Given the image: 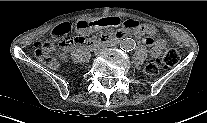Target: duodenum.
<instances>
[{
  "label": "duodenum",
  "mask_w": 207,
  "mask_h": 123,
  "mask_svg": "<svg viewBox=\"0 0 207 123\" xmlns=\"http://www.w3.org/2000/svg\"><path fill=\"white\" fill-rule=\"evenodd\" d=\"M123 37L122 36L114 37V38L102 37L100 41H97L95 39H89L85 42L84 46L86 48H92V47H94V46H96L97 44H100V43L111 45V44H115V43L119 42Z\"/></svg>",
  "instance_id": "1"
}]
</instances>
